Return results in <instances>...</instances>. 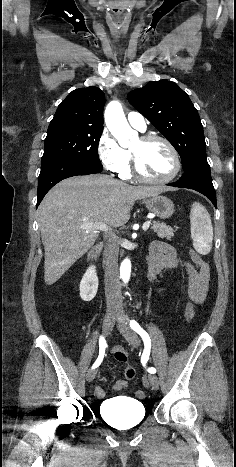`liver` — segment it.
<instances>
[{
  "mask_svg": "<svg viewBox=\"0 0 236 467\" xmlns=\"http://www.w3.org/2000/svg\"><path fill=\"white\" fill-rule=\"evenodd\" d=\"M171 188L131 186L105 175L75 176L54 186L38 208L45 250L44 280L54 284L95 243L91 224L125 225L133 203Z\"/></svg>",
  "mask_w": 236,
  "mask_h": 467,
  "instance_id": "6515ba94",
  "label": "liver"
}]
</instances>
